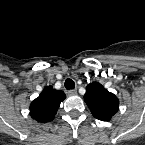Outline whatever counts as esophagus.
Masks as SVG:
<instances>
[{"label":"esophagus","mask_w":145,"mask_h":145,"mask_svg":"<svg viewBox=\"0 0 145 145\" xmlns=\"http://www.w3.org/2000/svg\"><path fill=\"white\" fill-rule=\"evenodd\" d=\"M67 94H68L69 96H74V95L77 94V90H76V89L68 90V91H67Z\"/></svg>","instance_id":"34e87169"}]
</instances>
